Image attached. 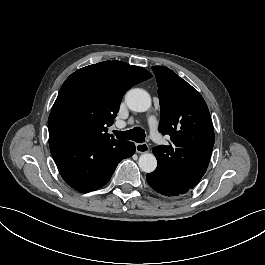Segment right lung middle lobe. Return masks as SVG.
Listing matches in <instances>:
<instances>
[{"label":"right lung middle lobe","instance_id":"dd1d6c3e","mask_svg":"<svg viewBox=\"0 0 265 265\" xmlns=\"http://www.w3.org/2000/svg\"><path fill=\"white\" fill-rule=\"evenodd\" d=\"M84 120L81 112L65 110L55 117L52 128L56 134L73 135Z\"/></svg>","mask_w":265,"mask_h":265}]
</instances>
